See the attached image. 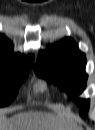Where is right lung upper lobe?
Wrapping results in <instances>:
<instances>
[{
    "instance_id": "1",
    "label": "right lung upper lobe",
    "mask_w": 95,
    "mask_h": 130,
    "mask_svg": "<svg viewBox=\"0 0 95 130\" xmlns=\"http://www.w3.org/2000/svg\"><path fill=\"white\" fill-rule=\"evenodd\" d=\"M32 55L24 58L13 52L12 44L3 35H0V71L2 70H30L33 66Z\"/></svg>"
}]
</instances>
